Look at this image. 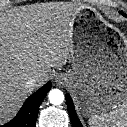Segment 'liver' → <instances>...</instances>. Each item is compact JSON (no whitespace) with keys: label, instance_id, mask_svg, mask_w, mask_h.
I'll return each mask as SVG.
<instances>
[{"label":"liver","instance_id":"1","mask_svg":"<svg viewBox=\"0 0 127 127\" xmlns=\"http://www.w3.org/2000/svg\"><path fill=\"white\" fill-rule=\"evenodd\" d=\"M81 4L20 6L0 14V123L67 63L73 51L72 26ZM38 76L32 89L29 78Z\"/></svg>","mask_w":127,"mask_h":127}]
</instances>
